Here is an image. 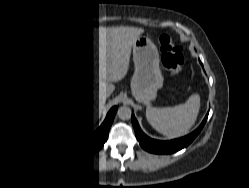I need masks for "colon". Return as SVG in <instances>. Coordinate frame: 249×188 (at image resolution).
<instances>
[{"label": "colon", "instance_id": "1", "mask_svg": "<svg viewBox=\"0 0 249 188\" xmlns=\"http://www.w3.org/2000/svg\"><path fill=\"white\" fill-rule=\"evenodd\" d=\"M158 41L163 66L173 75L180 74L184 62L182 46L168 35H161Z\"/></svg>", "mask_w": 249, "mask_h": 188}]
</instances>
